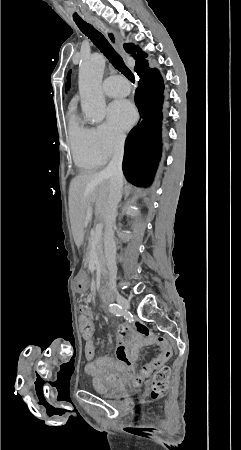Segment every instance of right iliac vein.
Here are the masks:
<instances>
[{"mask_svg": "<svg viewBox=\"0 0 241 450\" xmlns=\"http://www.w3.org/2000/svg\"><path fill=\"white\" fill-rule=\"evenodd\" d=\"M115 298L120 306H122L125 310H129V302L122 295L116 293Z\"/></svg>", "mask_w": 241, "mask_h": 450, "instance_id": "obj_1", "label": "right iliac vein"}]
</instances>
